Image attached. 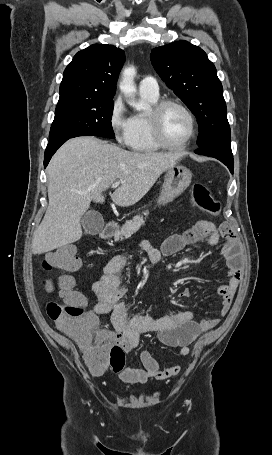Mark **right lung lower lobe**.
Listing matches in <instances>:
<instances>
[{"label": "right lung lower lobe", "instance_id": "obj_1", "mask_svg": "<svg viewBox=\"0 0 272 455\" xmlns=\"http://www.w3.org/2000/svg\"><path fill=\"white\" fill-rule=\"evenodd\" d=\"M67 140L68 139H63V140H60V141H56L54 143H49L47 145V148H46V151H45V155H44V167L47 166L48 162L50 161L51 157L56 152V150Z\"/></svg>", "mask_w": 272, "mask_h": 455}]
</instances>
